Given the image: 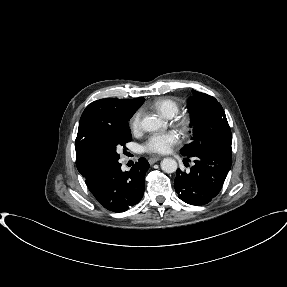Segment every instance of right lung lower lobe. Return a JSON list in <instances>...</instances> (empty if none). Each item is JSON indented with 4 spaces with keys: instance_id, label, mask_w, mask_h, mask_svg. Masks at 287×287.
<instances>
[{
    "instance_id": "right-lung-lower-lobe-1",
    "label": "right lung lower lobe",
    "mask_w": 287,
    "mask_h": 287,
    "mask_svg": "<svg viewBox=\"0 0 287 287\" xmlns=\"http://www.w3.org/2000/svg\"><path fill=\"white\" fill-rule=\"evenodd\" d=\"M149 167L145 158H140L130 171L125 172L121 170L118 160L106 162L93 169L85 182L104 208L112 212H124L142 199L145 173Z\"/></svg>"
}]
</instances>
